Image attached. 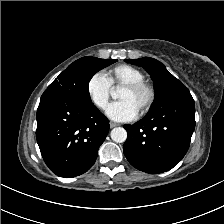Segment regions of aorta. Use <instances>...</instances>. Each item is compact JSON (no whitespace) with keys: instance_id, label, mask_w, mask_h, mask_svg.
<instances>
[{"instance_id":"aorta-1","label":"aorta","mask_w":224,"mask_h":224,"mask_svg":"<svg viewBox=\"0 0 224 224\" xmlns=\"http://www.w3.org/2000/svg\"><path fill=\"white\" fill-rule=\"evenodd\" d=\"M111 96L117 98L118 94L116 91H111ZM111 139L116 143H123L127 139V132L123 127H116L111 131Z\"/></svg>"}]
</instances>
